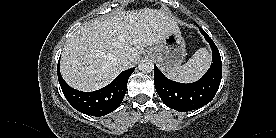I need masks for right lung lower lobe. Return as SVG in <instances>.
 Listing matches in <instances>:
<instances>
[{"label": "right lung lower lobe", "mask_w": 276, "mask_h": 138, "mask_svg": "<svg viewBox=\"0 0 276 138\" xmlns=\"http://www.w3.org/2000/svg\"><path fill=\"white\" fill-rule=\"evenodd\" d=\"M135 68L120 73L109 85L93 92H82L71 88L60 74L58 79L64 96L76 110L92 116H104L117 109L127 90V82Z\"/></svg>", "instance_id": "right-lung-lower-lobe-1"}]
</instances>
